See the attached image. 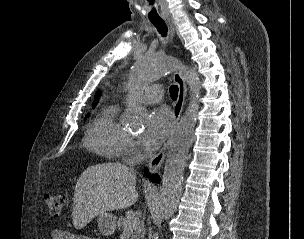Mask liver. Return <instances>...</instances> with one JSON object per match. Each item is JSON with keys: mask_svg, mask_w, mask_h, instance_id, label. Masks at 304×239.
I'll use <instances>...</instances> for the list:
<instances>
[{"mask_svg": "<svg viewBox=\"0 0 304 239\" xmlns=\"http://www.w3.org/2000/svg\"><path fill=\"white\" fill-rule=\"evenodd\" d=\"M136 172L121 163L90 166L77 180L73 197V225L84 228L96 216L132 206L139 198Z\"/></svg>", "mask_w": 304, "mask_h": 239, "instance_id": "obj_1", "label": "liver"}]
</instances>
